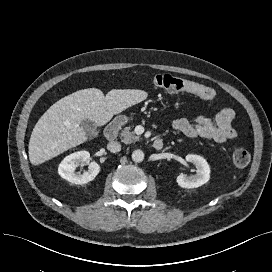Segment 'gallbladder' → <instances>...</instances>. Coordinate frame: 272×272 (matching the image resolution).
I'll use <instances>...</instances> for the list:
<instances>
[{
	"mask_svg": "<svg viewBox=\"0 0 272 272\" xmlns=\"http://www.w3.org/2000/svg\"><path fill=\"white\" fill-rule=\"evenodd\" d=\"M81 127L88 135H98L97 124L89 119H84L81 123Z\"/></svg>",
	"mask_w": 272,
	"mask_h": 272,
	"instance_id": "bac80fb5",
	"label": "gallbladder"
}]
</instances>
